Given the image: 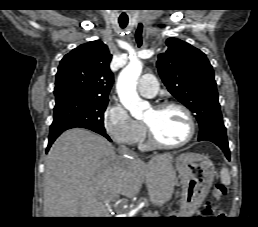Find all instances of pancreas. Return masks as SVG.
<instances>
[{
    "mask_svg": "<svg viewBox=\"0 0 258 227\" xmlns=\"http://www.w3.org/2000/svg\"><path fill=\"white\" fill-rule=\"evenodd\" d=\"M152 212L144 213L143 217H153Z\"/></svg>",
    "mask_w": 258,
    "mask_h": 227,
    "instance_id": "obj_1",
    "label": "pancreas"
}]
</instances>
